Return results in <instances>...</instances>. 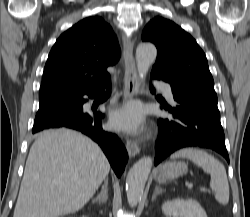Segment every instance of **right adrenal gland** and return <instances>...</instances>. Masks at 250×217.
<instances>
[{
    "mask_svg": "<svg viewBox=\"0 0 250 217\" xmlns=\"http://www.w3.org/2000/svg\"><path fill=\"white\" fill-rule=\"evenodd\" d=\"M108 200V178L104 181V185L102 186V190L99 195L93 200L94 202H99V204L106 203Z\"/></svg>",
    "mask_w": 250,
    "mask_h": 217,
    "instance_id": "1",
    "label": "right adrenal gland"
}]
</instances>
